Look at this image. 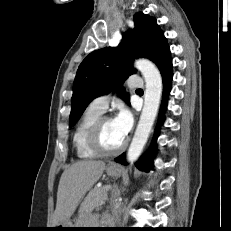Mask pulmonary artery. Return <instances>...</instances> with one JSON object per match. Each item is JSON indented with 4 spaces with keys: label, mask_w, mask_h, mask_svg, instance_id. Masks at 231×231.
Here are the masks:
<instances>
[{
    "label": "pulmonary artery",
    "mask_w": 231,
    "mask_h": 231,
    "mask_svg": "<svg viewBox=\"0 0 231 231\" xmlns=\"http://www.w3.org/2000/svg\"><path fill=\"white\" fill-rule=\"evenodd\" d=\"M127 85L129 88H133V89L141 88L143 86V80L137 75H132L129 78ZM109 100H110L109 95H102V96L95 98L91 102L90 106L98 110L99 112L103 113L108 108Z\"/></svg>",
    "instance_id": "1"
}]
</instances>
